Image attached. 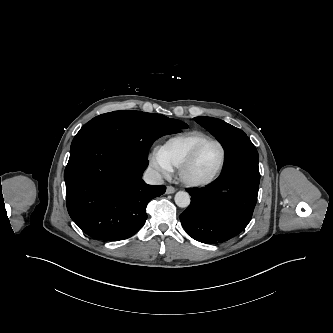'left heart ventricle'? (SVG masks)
Segmentation results:
<instances>
[{
  "label": "left heart ventricle",
  "mask_w": 333,
  "mask_h": 333,
  "mask_svg": "<svg viewBox=\"0 0 333 333\" xmlns=\"http://www.w3.org/2000/svg\"><path fill=\"white\" fill-rule=\"evenodd\" d=\"M220 156L221 151L216 144L205 145L190 168L189 175L196 179L207 177L217 166Z\"/></svg>",
  "instance_id": "obj_1"
}]
</instances>
